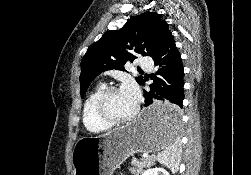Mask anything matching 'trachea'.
Wrapping results in <instances>:
<instances>
[{"mask_svg": "<svg viewBox=\"0 0 251 175\" xmlns=\"http://www.w3.org/2000/svg\"><path fill=\"white\" fill-rule=\"evenodd\" d=\"M139 72H143V70L139 69Z\"/></svg>", "mask_w": 251, "mask_h": 175, "instance_id": "1", "label": "trachea"}]
</instances>
